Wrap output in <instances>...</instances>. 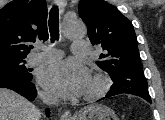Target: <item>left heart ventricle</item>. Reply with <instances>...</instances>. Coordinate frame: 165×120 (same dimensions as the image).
Returning a JSON list of instances; mask_svg holds the SVG:
<instances>
[{"instance_id": "b2bd125f", "label": "left heart ventricle", "mask_w": 165, "mask_h": 120, "mask_svg": "<svg viewBox=\"0 0 165 120\" xmlns=\"http://www.w3.org/2000/svg\"><path fill=\"white\" fill-rule=\"evenodd\" d=\"M95 87H96V83H95L94 80L91 78L90 81H89V84H88V86H87V88H86V90H85V92H84V94L93 91V90L95 89Z\"/></svg>"}]
</instances>
